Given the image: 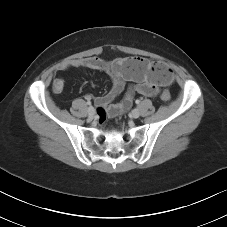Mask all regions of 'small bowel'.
<instances>
[{"mask_svg": "<svg viewBox=\"0 0 227 227\" xmlns=\"http://www.w3.org/2000/svg\"><path fill=\"white\" fill-rule=\"evenodd\" d=\"M71 68H88L103 71L112 79L110 90L95 99V102L104 108L111 117H116L126 112L132 105L134 96L140 94L146 97H155L159 87L171 81L161 72L151 66V62L139 57H123L114 60H105L91 56L72 59L60 67V71ZM64 87V80L60 77L54 79L52 89L60 93ZM122 100L112 103L121 93ZM90 99V96H87Z\"/></svg>", "mask_w": 227, "mask_h": 227, "instance_id": "obj_1", "label": "small bowel"}]
</instances>
